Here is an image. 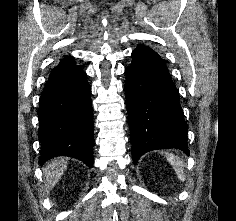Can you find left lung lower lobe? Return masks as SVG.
I'll return each mask as SVG.
<instances>
[{
    "label": "left lung lower lobe",
    "instance_id": "0a47b994",
    "mask_svg": "<svg viewBox=\"0 0 236 221\" xmlns=\"http://www.w3.org/2000/svg\"><path fill=\"white\" fill-rule=\"evenodd\" d=\"M132 58L125 92L134 163L157 149L177 148L189 154L188 125L164 60L144 45L132 52Z\"/></svg>",
    "mask_w": 236,
    "mask_h": 221
}]
</instances>
